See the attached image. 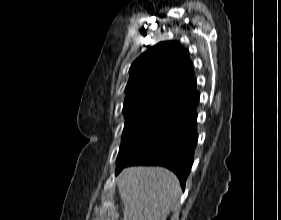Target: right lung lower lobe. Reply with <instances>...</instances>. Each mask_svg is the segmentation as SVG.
Returning <instances> with one entry per match:
<instances>
[{"label":"right lung lower lobe","instance_id":"98d812e1","mask_svg":"<svg viewBox=\"0 0 281 220\" xmlns=\"http://www.w3.org/2000/svg\"><path fill=\"white\" fill-rule=\"evenodd\" d=\"M198 103L199 98L171 117L143 148L116 170V174L124 167L131 165L165 166L178 176L184 189L197 145L196 109Z\"/></svg>","mask_w":281,"mask_h":220}]
</instances>
